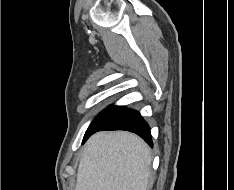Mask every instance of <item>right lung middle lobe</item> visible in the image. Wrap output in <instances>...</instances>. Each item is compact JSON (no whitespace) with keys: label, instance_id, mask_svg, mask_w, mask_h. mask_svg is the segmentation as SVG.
Segmentation results:
<instances>
[{"label":"right lung middle lobe","instance_id":"right-lung-middle-lobe-1","mask_svg":"<svg viewBox=\"0 0 234 190\" xmlns=\"http://www.w3.org/2000/svg\"><path fill=\"white\" fill-rule=\"evenodd\" d=\"M116 106L111 105L108 108H106L105 110H103L94 120L93 122L90 124V126L88 127L87 131L85 134L92 132L93 130H96L97 128H99L105 121L106 119L111 115V113L113 112L114 108Z\"/></svg>","mask_w":234,"mask_h":190}]
</instances>
